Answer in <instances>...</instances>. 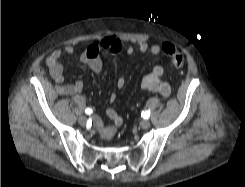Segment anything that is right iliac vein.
<instances>
[{
	"label": "right iliac vein",
	"mask_w": 245,
	"mask_h": 187,
	"mask_svg": "<svg viewBox=\"0 0 245 187\" xmlns=\"http://www.w3.org/2000/svg\"><path fill=\"white\" fill-rule=\"evenodd\" d=\"M78 122H79L80 125L84 126L86 124V122H87V119H86V117L81 116V117H79Z\"/></svg>",
	"instance_id": "1"
}]
</instances>
